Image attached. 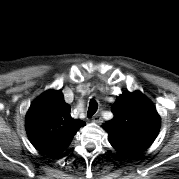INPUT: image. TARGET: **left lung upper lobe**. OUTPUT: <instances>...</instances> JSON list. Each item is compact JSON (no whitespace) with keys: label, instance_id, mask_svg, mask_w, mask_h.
<instances>
[{"label":"left lung upper lobe","instance_id":"5c2ea615","mask_svg":"<svg viewBox=\"0 0 179 179\" xmlns=\"http://www.w3.org/2000/svg\"><path fill=\"white\" fill-rule=\"evenodd\" d=\"M114 118L104 129L116 149L143 151L155 140L160 129V117L153 103L143 94L124 92L113 104Z\"/></svg>","mask_w":179,"mask_h":179}]
</instances>
